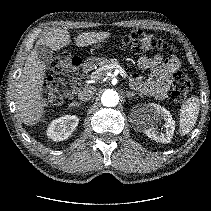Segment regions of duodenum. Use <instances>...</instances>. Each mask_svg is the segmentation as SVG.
I'll return each mask as SVG.
<instances>
[{
  "mask_svg": "<svg viewBox=\"0 0 211 211\" xmlns=\"http://www.w3.org/2000/svg\"><path fill=\"white\" fill-rule=\"evenodd\" d=\"M95 64L96 62L94 59H89L85 61L83 64H81L80 68L75 71V74L72 79L77 80L82 77L85 73L90 72L94 68Z\"/></svg>",
  "mask_w": 211,
  "mask_h": 211,
  "instance_id": "duodenum-1",
  "label": "duodenum"
}]
</instances>
